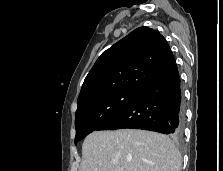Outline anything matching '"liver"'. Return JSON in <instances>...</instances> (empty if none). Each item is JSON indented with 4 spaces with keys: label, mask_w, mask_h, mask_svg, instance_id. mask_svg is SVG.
Wrapping results in <instances>:
<instances>
[{
    "label": "liver",
    "mask_w": 223,
    "mask_h": 171,
    "mask_svg": "<svg viewBox=\"0 0 223 171\" xmlns=\"http://www.w3.org/2000/svg\"><path fill=\"white\" fill-rule=\"evenodd\" d=\"M180 152L166 135L137 129L94 131L82 145L80 171H180Z\"/></svg>",
    "instance_id": "liver-1"
}]
</instances>
